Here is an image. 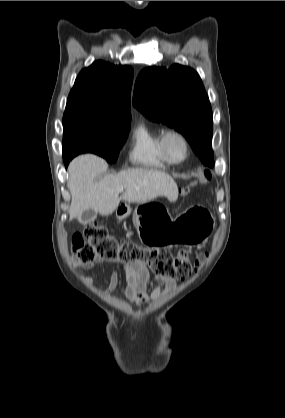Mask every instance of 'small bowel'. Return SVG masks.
<instances>
[{
    "mask_svg": "<svg viewBox=\"0 0 285 418\" xmlns=\"http://www.w3.org/2000/svg\"><path fill=\"white\" fill-rule=\"evenodd\" d=\"M102 259L98 258L95 260L93 264L90 265H83L79 263L76 257H72V262L76 266V268L80 270H93L95 264L102 263ZM124 270L126 272V280L127 286L125 289V296L129 301L140 303L146 300L147 298V286L148 281L150 278V270L147 264L144 263H136L130 265H124ZM94 276L90 274L85 277V282L88 285L93 283ZM119 275L117 273H113L111 278L107 284L106 292L111 293L113 292L119 284ZM169 285H173V281H166ZM162 294V286L159 285L150 293V300L155 301L157 300Z\"/></svg>",
    "mask_w": 285,
    "mask_h": 418,
    "instance_id": "small-bowel-1",
    "label": "small bowel"
}]
</instances>
